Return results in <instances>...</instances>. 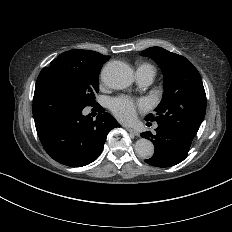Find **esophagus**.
<instances>
[{
  "label": "esophagus",
  "instance_id": "esophagus-1",
  "mask_svg": "<svg viewBox=\"0 0 232 232\" xmlns=\"http://www.w3.org/2000/svg\"><path fill=\"white\" fill-rule=\"evenodd\" d=\"M130 133H132V134H134L135 136H139V133L136 131V130H134V129H132V128H126Z\"/></svg>",
  "mask_w": 232,
  "mask_h": 232
}]
</instances>
